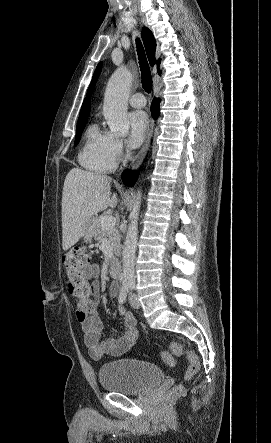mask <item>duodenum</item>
Returning <instances> with one entry per match:
<instances>
[{
	"mask_svg": "<svg viewBox=\"0 0 271 443\" xmlns=\"http://www.w3.org/2000/svg\"><path fill=\"white\" fill-rule=\"evenodd\" d=\"M109 272L112 277L118 278L121 274V265L117 259H113L109 265Z\"/></svg>",
	"mask_w": 271,
	"mask_h": 443,
	"instance_id": "obj_1",
	"label": "duodenum"
}]
</instances>
